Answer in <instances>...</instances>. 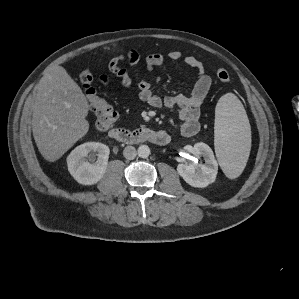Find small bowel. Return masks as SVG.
<instances>
[{
    "instance_id": "c3829d8e",
    "label": "small bowel",
    "mask_w": 299,
    "mask_h": 299,
    "mask_svg": "<svg viewBox=\"0 0 299 299\" xmlns=\"http://www.w3.org/2000/svg\"><path fill=\"white\" fill-rule=\"evenodd\" d=\"M168 58L172 61L183 59L184 63L197 72V81L189 94H177L161 97L152 89L151 82L147 80H138L140 99L148 105L159 108L166 107L175 109L178 112L181 121L180 130L184 136H194L199 131L200 108L204 103L212 84V78L205 71L202 62L195 56H185L179 51H171ZM126 60L129 65L136 66L140 60V53L134 49L125 54L114 56L108 63L109 70L120 79L125 87H130L134 83L133 77L128 70L121 66V62ZM164 62V56L159 53L151 54L145 59V66L148 72H153ZM103 84H107L108 79L105 75L100 76Z\"/></svg>"
}]
</instances>
